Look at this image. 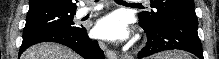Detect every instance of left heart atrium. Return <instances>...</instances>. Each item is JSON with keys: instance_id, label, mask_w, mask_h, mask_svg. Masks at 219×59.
Instances as JSON below:
<instances>
[{"instance_id": "left-heart-atrium-1", "label": "left heart atrium", "mask_w": 219, "mask_h": 59, "mask_svg": "<svg viewBox=\"0 0 219 59\" xmlns=\"http://www.w3.org/2000/svg\"><path fill=\"white\" fill-rule=\"evenodd\" d=\"M94 34L96 37L107 40L124 38L127 35L126 23L118 14H110L98 20Z\"/></svg>"}]
</instances>
